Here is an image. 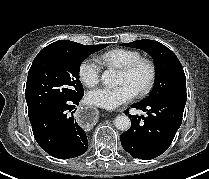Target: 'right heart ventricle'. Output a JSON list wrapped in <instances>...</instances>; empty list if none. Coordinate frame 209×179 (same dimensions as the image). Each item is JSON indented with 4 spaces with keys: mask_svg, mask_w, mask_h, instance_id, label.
<instances>
[{
    "mask_svg": "<svg viewBox=\"0 0 209 179\" xmlns=\"http://www.w3.org/2000/svg\"><path fill=\"white\" fill-rule=\"evenodd\" d=\"M141 57L137 50L115 48L108 50L97 57V61L105 67L121 69Z\"/></svg>",
    "mask_w": 209,
    "mask_h": 179,
    "instance_id": "1",
    "label": "right heart ventricle"
}]
</instances>
